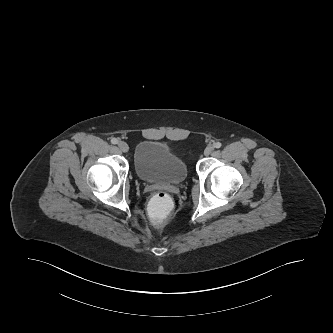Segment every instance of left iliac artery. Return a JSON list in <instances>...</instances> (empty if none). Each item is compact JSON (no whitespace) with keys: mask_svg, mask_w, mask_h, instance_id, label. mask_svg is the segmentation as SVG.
I'll use <instances>...</instances> for the list:
<instances>
[{"mask_svg":"<svg viewBox=\"0 0 333 333\" xmlns=\"http://www.w3.org/2000/svg\"><path fill=\"white\" fill-rule=\"evenodd\" d=\"M221 146H222V144L220 142L214 143V147L215 148H220Z\"/></svg>","mask_w":333,"mask_h":333,"instance_id":"1","label":"left iliac artery"}]
</instances>
